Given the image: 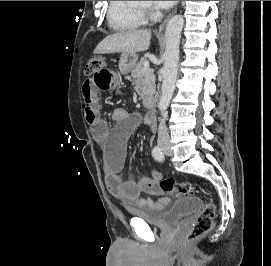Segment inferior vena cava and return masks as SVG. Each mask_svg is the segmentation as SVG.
Instances as JSON below:
<instances>
[{"label":"inferior vena cava","instance_id":"obj_1","mask_svg":"<svg viewBox=\"0 0 271 266\" xmlns=\"http://www.w3.org/2000/svg\"><path fill=\"white\" fill-rule=\"evenodd\" d=\"M169 133L165 124V118H162L158 127V142L168 141Z\"/></svg>","mask_w":271,"mask_h":266}]
</instances>
